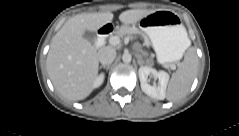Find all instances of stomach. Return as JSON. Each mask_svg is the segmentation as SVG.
<instances>
[{
	"label": "stomach",
	"instance_id": "0dacf381",
	"mask_svg": "<svg viewBox=\"0 0 239 136\" xmlns=\"http://www.w3.org/2000/svg\"><path fill=\"white\" fill-rule=\"evenodd\" d=\"M139 27L152 44L159 63H171L182 58L188 47V37L175 13L154 11L139 20Z\"/></svg>",
	"mask_w": 239,
	"mask_h": 136
}]
</instances>
